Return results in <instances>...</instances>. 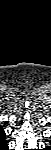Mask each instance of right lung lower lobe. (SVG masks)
Returning a JSON list of instances; mask_svg holds the SVG:
<instances>
[{"instance_id":"98d812e1","label":"right lung lower lobe","mask_w":51,"mask_h":150,"mask_svg":"<svg viewBox=\"0 0 51 150\" xmlns=\"http://www.w3.org/2000/svg\"><path fill=\"white\" fill-rule=\"evenodd\" d=\"M1 148L4 149V150H7L8 149L7 143L6 142L2 143Z\"/></svg>"}]
</instances>
